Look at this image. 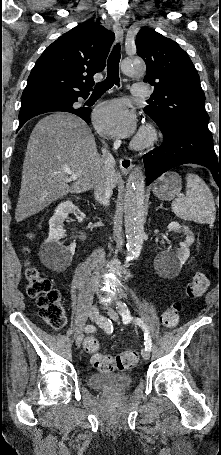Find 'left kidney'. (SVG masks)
I'll return each mask as SVG.
<instances>
[{
	"label": "left kidney",
	"mask_w": 221,
	"mask_h": 455,
	"mask_svg": "<svg viewBox=\"0 0 221 455\" xmlns=\"http://www.w3.org/2000/svg\"><path fill=\"white\" fill-rule=\"evenodd\" d=\"M167 228L169 231H180L186 235V239L184 242L180 243V248L177 253L162 251L156 256L155 263L157 267L165 272L173 273L179 271L189 258V247L194 242V236L188 227L181 226L178 222L169 223Z\"/></svg>",
	"instance_id": "1"
}]
</instances>
